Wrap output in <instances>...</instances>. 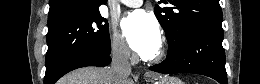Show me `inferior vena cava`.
I'll use <instances>...</instances> for the list:
<instances>
[{"label":"inferior vena cava","mask_w":260,"mask_h":84,"mask_svg":"<svg viewBox=\"0 0 260 84\" xmlns=\"http://www.w3.org/2000/svg\"><path fill=\"white\" fill-rule=\"evenodd\" d=\"M129 57L130 53L125 47L113 51L110 69L121 80L127 79L131 73Z\"/></svg>","instance_id":"602c4592"}]
</instances>
